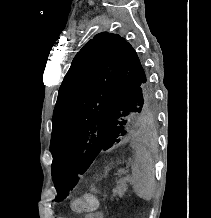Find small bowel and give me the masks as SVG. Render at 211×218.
Wrapping results in <instances>:
<instances>
[{
    "instance_id": "c3829d8e",
    "label": "small bowel",
    "mask_w": 211,
    "mask_h": 218,
    "mask_svg": "<svg viewBox=\"0 0 211 218\" xmlns=\"http://www.w3.org/2000/svg\"><path fill=\"white\" fill-rule=\"evenodd\" d=\"M86 218H103V215L101 212L91 211L86 215Z\"/></svg>"
}]
</instances>
